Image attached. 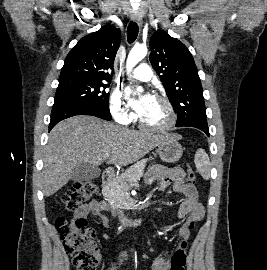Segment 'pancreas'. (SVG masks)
<instances>
[{"label":"pancreas","instance_id":"cf45deb5","mask_svg":"<svg viewBox=\"0 0 267 270\" xmlns=\"http://www.w3.org/2000/svg\"><path fill=\"white\" fill-rule=\"evenodd\" d=\"M147 161L148 159H144L132 165L119 177L113 179V181L103 190L104 198L111 205H118L130 200L129 190L133 183L138 182L143 176Z\"/></svg>","mask_w":267,"mask_h":270}]
</instances>
